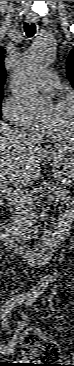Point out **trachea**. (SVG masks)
<instances>
[{"label":"trachea","instance_id":"trachea-1","mask_svg":"<svg viewBox=\"0 0 74 366\" xmlns=\"http://www.w3.org/2000/svg\"><path fill=\"white\" fill-rule=\"evenodd\" d=\"M24 32L26 34L27 37L31 38L35 35L36 33V25L35 23H25L24 24Z\"/></svg>","mask_w":74,"mask_h":366}]
</instances>
